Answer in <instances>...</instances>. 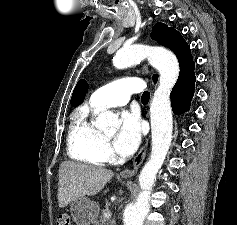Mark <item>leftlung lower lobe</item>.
I'll use <instances>...</instances> for the list:
<instances>
[{
  "mask_svg": "<svg viewBox=\"0 0 237 225\" xmlns=\"http://www.w3.org/2000/svg\"><path fill=\"white\" fill-rule=\"evenodd\" d=\"M195 74L193 72L180 73L171 92V105L175 114H182L190 107L194 95Z\"/></svg>",
  "mask_w": 237,
  "mask_h": 225,
  "instance_id": "left-lung-lower-lobe-1",
  "label": "left lung lower lobe"
}]
</instances>
